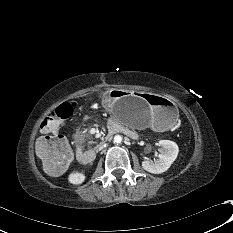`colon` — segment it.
<instances>
[{
	"instance_id": "5ec220e1",
	"label": "colon",
	"mask_w": 233,
	"mask_h": 233,
	"mask_svg": "<svg viewBox=\"0 0 233 233\" xmlns=\"http://www.w3.org/2000/svg\"><path fill=\"white\" fill-rule=\"evenodd\" d=\"M75 109V103H63L48 115L41 123L42 136L36 144V151L44 170L50 175L61 174L69 165L72 152L67 140L55 134L67 121Z\"/></svg>"
}]
</instances>
